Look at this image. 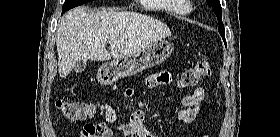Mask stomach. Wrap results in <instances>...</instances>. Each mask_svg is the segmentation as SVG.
Here are the masks:
<instances>
[{
    "label": "stomach",
    "instance_id": "1",
    "mask_svg": "<svg viewBox=\"0 0 280 137\" xmlns=\"http://www.w3.org/2000/svg\"><path fill=\"white\" fill-rule=\"evenodd\" d=\"M173 47L167 41H156L141 51L103 64L98 72L103 84H111L123 77H130L145 69L160 65L172 53Z\"/></svg>",
    "mask_w": 280,
    "mask_h": 137
}]
</instances>
